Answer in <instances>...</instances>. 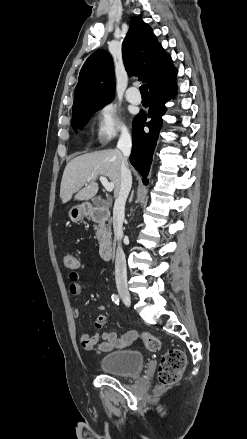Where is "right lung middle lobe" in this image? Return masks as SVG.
<instances>
[{
    "mask_svg": "<svg viewBox=\"0 0 247 439\" xmlns=\"http://www.w3.org/2000/svg\"><path fill=\"white\" fill-rule=\"evenodd\" d=\"M103 106L95 108V109H90V110H86L83 111L79 114H76L73 116L72 119V126L74 129H76L77 127H79L80 129H82V127L87 123L88 121V117L93 114L94 112L98 111L99 109H101Z\"/></svg>",
    "mask_w": 247,
    "mask_h": 439,
    "instance_id": "1",
    "label": "right lung middle lobe"
}]
</instances>
